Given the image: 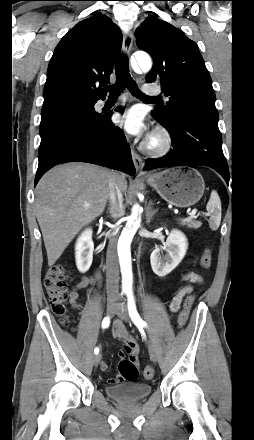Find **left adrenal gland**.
Returning a JSON list of instances; mask_svg holds the SVG:
<instances>
[{
    "instance_id": "left-adrenal-gland-1",
    "label": "left adrenal gland",
    "mask_w": 254,
    "mask_h": 440,
    "mask_svg": "<svg viewBox=\"0 0 254 440\" xmlns=\"http://www.w3.org/2000/svg\"><path fill=\"white\" fill-rule=\"evenodd\" d=\"M152 205V204H151ZM151 205L148 207V211L146 214V223L149 224L151 219L153 218V216L155 215V213L157 212V210H152Z\"/></svg>"
}]
</instances>
